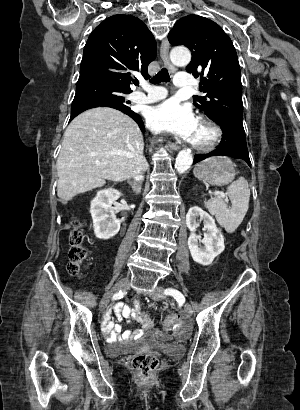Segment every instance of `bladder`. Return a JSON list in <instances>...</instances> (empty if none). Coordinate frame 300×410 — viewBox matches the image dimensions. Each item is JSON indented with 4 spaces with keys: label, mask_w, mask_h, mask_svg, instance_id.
I'll use <instances>...</instances> for the list:
<instances>
[{
    "label": "bladder",
    "mask_w": 300,
    "mask_h": 410,
    "mask_svg": "<svg viewBox=\"0 0 300 410\" xmlns=\"http://www.w3.org/2000/svg\"><path fill=\"white\" fill-rule=\"evenodd\" d=\"M182 344L179 342L167 343L160 346L161 350L171 353L172 355H177L178 351L182 348ZM127 349L125 343L110 342L106 345V350L111 355L117 356Z\"/></svg>",
    "instance_id": "1"
}]
</instances>
